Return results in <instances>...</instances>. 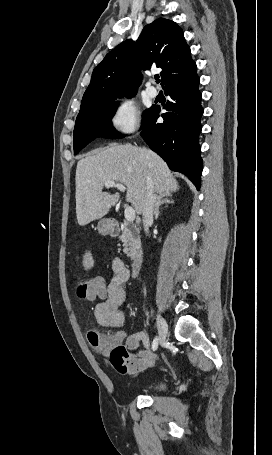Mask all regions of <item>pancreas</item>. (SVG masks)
Instances as JSON below:
<instances>
[{"label": "pancreas", "instance_id": "1", "mask_svg": "<svg viewBox=\"0 0 272 455\" xmlns=\"http://www.w3.org/2000/svg\"><path fill=\"white\" fill-rule=\"evenodd\" d=\"M138 233L139 231L136 227L124 224L123 232L119 236V239L123 242V252L131 259H135L136 255L141 251V241Z\"/></svg>", "mask_w": 272, "mask_h": 455}]
</instances>
